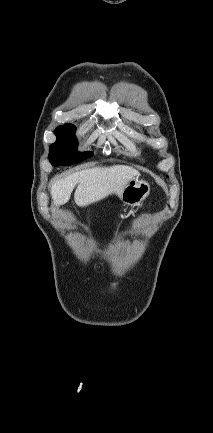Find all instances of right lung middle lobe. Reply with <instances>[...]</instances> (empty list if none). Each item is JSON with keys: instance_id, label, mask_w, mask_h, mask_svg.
I'll return each mask as SVG.
<instances>
[{"instance_id": "dd1d6c3e", "label": "right lung middle lobe", "mask_w": 213, "mask_h": 433, "mask_svg": "<svg viewBox=\"0 0 213 433\" xmlns=\"http://www.w3.org/2000/svg\"><path fill=\"white\" fill-rule=\"evenodd\" d=\"M75 131L76 127L73 124H65L56 128L57 140L49 148V160L53 166L71 165L93 155L90 152H76L78 142Z\"/></svg>"}]
</instances>
